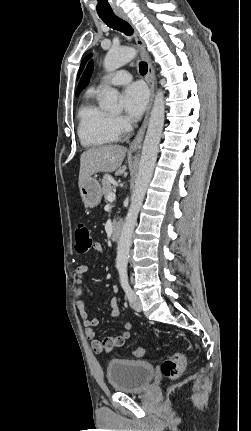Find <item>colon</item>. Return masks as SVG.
Segmentation results:
<instances>
[{
	"label": "colon",
	"mask_w": 251,
	"mask_h": 431,
	"mask_svg": "<svg viewBox=\"0 0 251 431\" xmlns=\"http://www.w3.org/2000/svg\"><path fill=\"white\" fill-rule=\"evenodd\" d=\"M75 248L80 254H85L95 248L91 231L84 223H79L75 229ZM135 357H142L145 353L144 348L137 347L133 350ZM187 364V358L182 353H175L166 359L161 366L162 374L166 379L178 380L182 377Z\"/></svg>",
	"instance_id": "1"
}]
</instances>
